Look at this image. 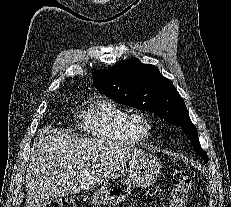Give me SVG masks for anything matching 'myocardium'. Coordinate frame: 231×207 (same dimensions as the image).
Masks as SVG:
<instances>
[{"mask_svg": "<svg viewBox=\"0 0 231 207\" xmlns=\"http://www.w3.org/2000/svg\"><path fill=\"white\" fill-rule=\"evenodd\" d=\"M131 124L136 135L141 139L148 138L153 129L150 117L141 111H137L130 116Z\"/></svg>", "mask_w": 231, "mask_h": 207, "instance_id": "myocardium-1", "label": "myocardium"}]
</instances>
